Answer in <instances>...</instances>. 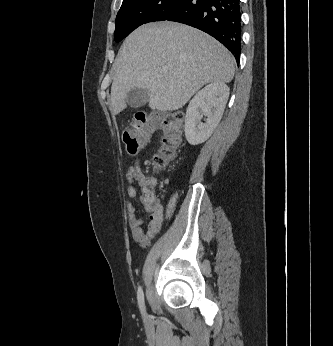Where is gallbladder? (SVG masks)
Instances as JSON below:
<instances>
[{"instance_id":"1","label":"gallbladder","mask_w":333,"mask_h":346,"mask_svg":"<svg viewBox=\"0 0 333 346\" xmlns=\"http://www.w3.org/2000/svg\"><path fill=\"white\" fill-rule=\"evenodd\" d=\"M149 98V92L142 88H133L126 94V103L132 108L143 106Z\"/></svg>"}]
</instances>
